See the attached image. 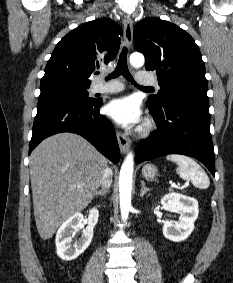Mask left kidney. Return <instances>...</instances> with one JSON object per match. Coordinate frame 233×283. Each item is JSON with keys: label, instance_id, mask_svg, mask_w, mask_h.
<instances>
[{"label": "left kidney", "instance_id": "5707ae66", "mask_svg": "<svg viewBox=\"0 0 233 283\" xmlns=\"http://www.w3.org/2000/svg\"><path fill=\"white\" fill-rule=\"evenodd\" d=\"M160 203L166 210L182 213L178 222H164L163 235L174 242L186 240L194 230V222L198 217L197 200L181 194L170 193L165 195Z\"/></svg>", "mask_w": 233, "mask_h": 283}]
</instances>
